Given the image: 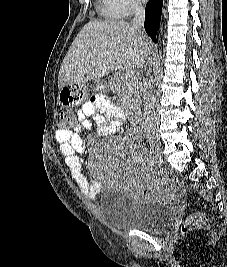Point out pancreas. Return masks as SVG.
Returning <instances> with one entry per match:
<instances>
[{"label": "pancreas", "mask_w": 227, "mask_h": 267, "mask_svg": "<svg viewBox=\"0 0 227 267\" xmlns=\"http://www.w3.org/2000/svg\"><path fill=\"white\" fill-rule=\"evenodd\" d=\"M129 76L117 74L110 80V86L122 99L126 108L134 110L140 105V92L138 83L130 84Z\"/></svg>", "instance_id": "obj_1"}]
</instances>
